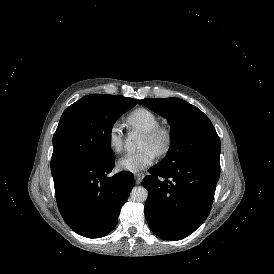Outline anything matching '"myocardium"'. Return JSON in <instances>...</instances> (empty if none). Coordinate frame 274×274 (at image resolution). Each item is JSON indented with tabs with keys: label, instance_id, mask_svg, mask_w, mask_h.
<instances>
[{
	"label": "myocardium",
	"instance_id": "myocardium-1",
	"mask_svg": "<svg viewBox=\"0 0 274 274\" xmlns=\"http://www.w3.org/2000/svg\"><path fill=\"white\" fill-rule=\"evenodd\" d=\"M146 136L150 141L157 144L156 155H166L172 148L173 136L170 130L164 127H157L151 131L145 132Z\"/></svg>",
	"mask_w": 274,
	"mask_h": 274
}]
</instances>
